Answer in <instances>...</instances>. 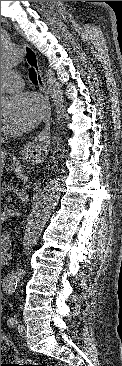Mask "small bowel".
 Returning <instances> with one entry per match:
<instances>
[{"instance_id": "obj_1", "label": "small bowel", "mask_w": 122, "mask_h": 366, "mask_svg": "<svg viewBox=\"0 0 122 366\" xmlns=\"http://www.w3.org/2000/svg\"><path fill=\"white\" fill-rule=\"evenodd\" d=\"M14 275H9L6 279H5V284H9V283H11V282H13L14 281ZM1 312H2V306H1Z\"/></svg>"}]
</instances>
